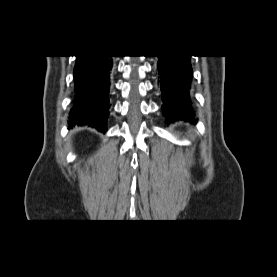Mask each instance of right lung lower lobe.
I'll use <instances>...</instances> for the list:
<instances>
[{
  "label": "right lung lower lobe",
  "mask_w": 277,
  "mask_h": 277,
  "mask_svg": "<svg viewBox=\"0 0 277 277\" xmlns=\"http://www.w3.org/2000/svg\"><path fill=\"white\" fill-rule=\"evenodd\" d=\"M111 56H77L74 67L75 101L70 126L88 125L105 133L109 115Z\"/></svg>",
  "instance_id": "right-lung-lower-lobe-1"
}]
</instances>
